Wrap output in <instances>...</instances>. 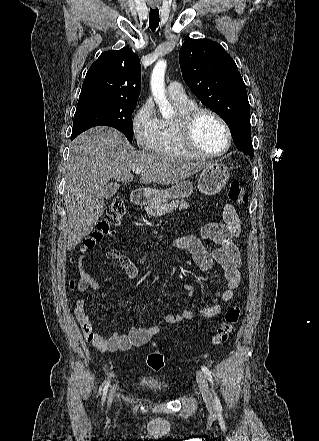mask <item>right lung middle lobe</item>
<instances>
[{"label":"right lung middle lobe","instance_id":"dd1d6c3e","mask_svg":"<svg viewBox=\"0 0 319 441\" xmlns=\"http://www.w3.org/2000/svg\"><path fill=\"white\" fill-rule=\"evenodd\" d=\"M135 106L134 102L118 100H79L74 115L71 140L91 127L104 125L120 130L132 142L131 114Z\"/></svg>","mask_w":319,"mask_h":441}]
</instances>
